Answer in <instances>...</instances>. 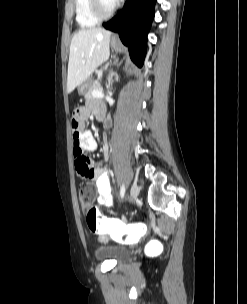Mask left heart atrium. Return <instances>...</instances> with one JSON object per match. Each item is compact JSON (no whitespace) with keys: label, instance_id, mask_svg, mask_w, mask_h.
I'll use <instances>...</instances> for the list:
<instances>
[{"label":"left heart atrium","instance_id":"39dd6f15","mask_svg":"<svg viewBox=\"0 0 247 304\" xmlns=\"http://www.w3.org/2000/svg\"><path fill=\"white\" fill-rule=\"evenodd\" d=\"M115 2H119L120 0H114Z\"/></svg>","mask_w":247,"mask_h":304}]
</instances>
